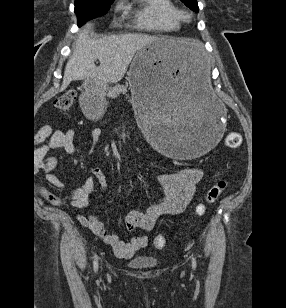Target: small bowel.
Masks as SVG:
<instances>
[{
	"instance_id": "obj_1",
	"label": "small bowel",
	"mask_w": 286,
	"mask_h": 308,
	"mask_svg": "<svg viewBox=\"0 0 286 308\" xmlns=\"http://www.w3.org/2000/svg\"><path fill=\"white\" fill-rule=\"evenodd\" d=\"M101 136V130L94 128L91 137L96 142ZM40 147L38 150L39 167L43 170L46 180L52 185L63 189V184L53 173L56 159L48 156L53 149H63L69 154L78 152L75 143L74 130H53L51 126H42L36 136ZM203 176L202 170L197 166H187L176 172L160 174L156 180L161 189V197L150 203L144 210H132L125 217L124 223L129 231L140 229L151 231L154 229L157 219L162 215H177L182 213L190 204L196 191L197 185ZM101 192L107 186V177L99 167L92 169V176L81 187L66 190V196L76 208L85 207L96 187ZM43 197L55 204H62L63 199L48 192ZM78 220L88 227L96 236L101 238L114 254L120 258H130L138 250L148 245V238L144 234H137L126 242L117 234L107 231L104 224L96 215L80 216Z\"/></svg>"
}]
</instances>
